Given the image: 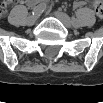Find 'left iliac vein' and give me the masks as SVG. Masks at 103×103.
<instances>
[{"mask_svg": "<svg viewBox=\"0 0 103 103\" xmlns=\"http://www.w3.org/2000/svg\"><path fill=\"white\" fill-rule=\"evenodd\" d=\"M54 14L64 24L65 27L72 28V21L67 14L60 11H56Z\"/></svg>", "mask_w": 103, "mask_h": 103, "instance_id": "left-iliac-vein-1", "label": "left iliac vein"}]
</instances>
